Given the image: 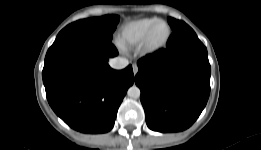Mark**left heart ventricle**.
I'll list each match as a JSON object with an SVG mask.
<instances>
[{"label":"left heart ventricle","mask_w":261,"mask_h":150,"mask_svg":"<svg viewBox=\"0 0 261 150\" xmlns=\"http://www.w3.org/2000/svg\"><path fill=\"white\" fill-rule=\"evenodd\" d=\"M167 26L163 23L158 24L155 29L153 30L152 36H151V42L153 44H159L161 43L166 35H167Z\"/></svg>","instance_id":"left-heart-ventricle-1"}]
</instances>
